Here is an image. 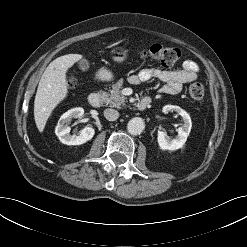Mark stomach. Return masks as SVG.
I'll return each mask as SVG.
<instances>
[{
    "instance_id": "obj_1",
    "label": "stomach",
    "mask_w": 247,
    "mask_h": 247,
    "mask_svg": "<svg viewBox=\"0 0 247 247\" xmlns=\"http://www.w3.org/2000/svg\"><path fill=\"white\" fill-rule=\"evenodd\" d=\"M128 51L123 48H116L111 51L112 58L117 62H122L126 59ZM99 77L102 80H110L112 78V73L106 69H101L99 71Z\"/></svg>"
}]
</instances>
